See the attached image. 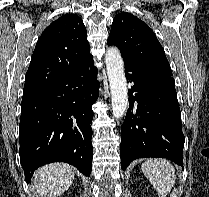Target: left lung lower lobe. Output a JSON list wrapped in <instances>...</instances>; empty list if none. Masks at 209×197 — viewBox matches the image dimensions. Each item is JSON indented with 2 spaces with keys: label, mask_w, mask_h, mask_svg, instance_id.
<instances>
[{
  "label": "left lung lower lobe",
  "mask_w": 209,
  "mask_h": 197,
  "mask_svg": "<svg viewBox=\"0 0 209 197\" xmlns=\"http://www.w3.org/2000/svg\"><path fill=\"white\" fill-rule=\"evenodd\" d=\"M125 64L129 109L121 128V168L137 158L162 157L183 166L185 137L172 76Z\"/></svg>",
  "instance_id": "0a47b994"
}]
</instances>
